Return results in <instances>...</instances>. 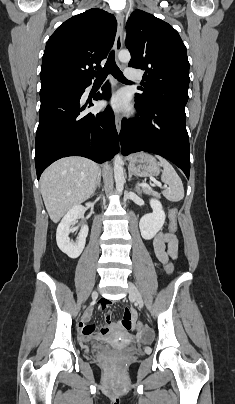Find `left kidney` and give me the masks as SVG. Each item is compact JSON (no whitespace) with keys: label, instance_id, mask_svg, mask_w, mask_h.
<instances>
[{"label":"left kidney","instance_id":"obj_1","mask_svg":"<svg viewBox=\"0 0 235 404\" xmlns=\"http://www.w3.org/2000/svg\"><path fill=\"white\" fill-rule=\"evenodd\" d=\"M150 206L153 212L142 216L139 222L141 236L145 240H151L162 229L165 222V212L160 201L151 199Z\"/></svg>","mask_w":235,"mask_h":404}]
</instances>
